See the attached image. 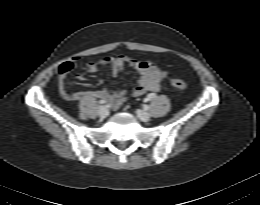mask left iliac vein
<instances>
[{
	"instance_id": "left-iliac-vein-1",
	"label": "left iliac vein",
	"mask_w": 260,
	"mask_h": 205,
	"mask_svg": "<svg viewBox=\"0 0 260 205\" xmlns=\"http://www.w3.org/2000/svg\"><path fill=\"white\" fill-rule=\"evenodd\" d=\"M136 114L138 116V118L143 121V122H147L150 119V115L149 113H147L146 111L143 110H137Z\"/></svg>"
}]
</instances>
